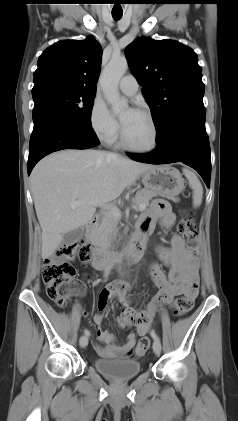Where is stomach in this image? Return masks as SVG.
I'll use <instances>...</instances> for the list:
<instances>
[{"mask_svg": "<svg viewBox=\"0 0 238 421\" xmlns=\"http://www.w3.org/2000/svg\"><path fill=\"white\" fill-rule=\"evenodd\" d=\"M142 182L147 189L155 190L162 195L174 197L184 189V179L180 172L168 165H155L145 170Z\"/></svg>", "mask_w": 238, "mask_h": 421, "instance_id": "obj_1", "label": "stomach"}]
</instances>
